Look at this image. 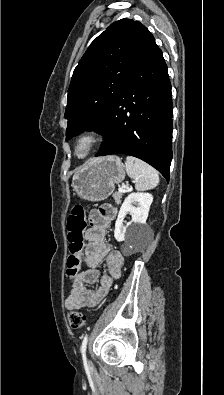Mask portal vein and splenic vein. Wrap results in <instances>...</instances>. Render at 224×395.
<instances>
[{
  "instance_id": "18ae733b",
  "label": "portal vein and splenic vein",
  "mask_w": 224,
  "mask_h": 395,
  "mask_svg": "<svg viewBox=\"0 0 224 395\" xmlns=\"http://www.w3.org/2000/svg\"><path fill=\"white\" fill-rule=\"evenodd\" d=\"M118 190H119L120 193H123V192H125L126 190H131V188L125 189L124 187H120Z\"/></svg>"
}]
</instances>
